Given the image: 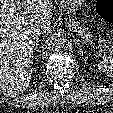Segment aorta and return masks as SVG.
<instances>
[{
    "label": "aorta",
    "mask_w": 113,
    "mask_h": 113,
    "mask_svg": "<svg viewBox=\"0 0 113 113\" xmlns=\"http://www.w3.org/2000/svg\"><path fill=\"white\" fill-rule=\"evenodd\" d=\"M65 37L62 33H52L45 41L48 50L59 51L65 45Z\"/></svg>",
    "instance_id": "aorta-1"
}]
</instances>
